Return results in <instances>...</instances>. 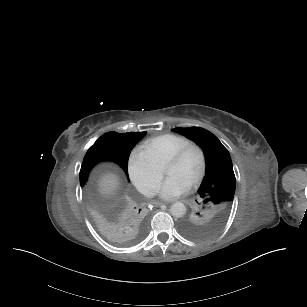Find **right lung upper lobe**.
Returning <instances> with one entry per match:
<instances>
[{
  "instance_id": "1",
  "label": "right lung upper lobe",
  "mask_w": 307,
  "mask_h": 307,
  "mask_svg": "<svg viewBox=\"0 0 307 307\" xmlns=\"http://www.w3.org/2000/svg\"><path fill=\"white\" fill-rule=\"evenodd\" d=\"M145 134L146 132L123 134L108 132L102 135L97 142L103 143L121 158L122 163L113 161L120 164L128 175L127 162L130 151ZM82 194L95 220L106 231L121 229L136 230L140 229L146 222L147 210L145 206L133 197L101 200L96 198L86 188L83 189Z\"/></svg>"
}]
</instances>
